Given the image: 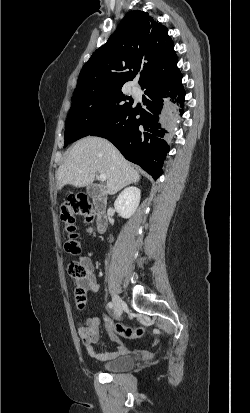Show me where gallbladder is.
I'll list each match as a JSON object with an SVG mask.
<instances>
[{
  "instance_id": "1",
  "label": "gallbladder",
  "mask_w": 250,
  "mask_h": 413,
  "mask_svg": "<svg viewBox=\"0 0 250 413\" xmlns=\"http://www.w3.org/2000/svg\"><path fill=\"white\" fill-rule=\"evenodd\" d=\"M93 191H94L93 186H90V187L87 188V193L88 194H90V195L93 194Z\"/></svg>"
}]
</instances>
